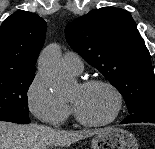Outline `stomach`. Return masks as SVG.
<instances>
[{
    "mask_svg": "<svg viewBox=\"0 0 155 149\" xmlns=\"http://www.w3.org/2000/svg\"><path fill=\"white\" fill-rule=\"evenodd\" d=\"M91 149H138L132 133L121 128L110 127L91 141Z\"/></svg>",
    "mask_w": 155,
    "mask_h": 149,
    "instance_id": "1",
    "label": "stomach"
}]
</instances>
